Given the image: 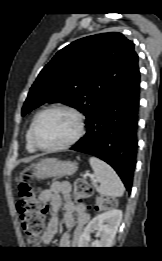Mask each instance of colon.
<instances>
[{"label": "colon", "instance_id": "colon-1", "mask_svg": "<svg viewBox=\"0 0 162 261\" xmlns=\"http://www.w3.org/2000/svg\"><path fill=\"white\" fill-rule=\"evenodd\" d=\"M17 211L20 216L22 230L30 243H37L44 228L43 205L36 198L35 188L28 183H20ZM74 197L78 203L94 197L93 187L85 180L78 179L74 183ZM115 206L114 199L106 196H97L94 207L97 210H107Z\"/></svg>", "mask_w": 162, "mask_h": 261}]
</instances>
